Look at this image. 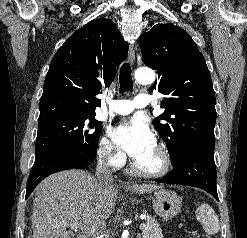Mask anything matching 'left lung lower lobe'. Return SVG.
<instances>
[{
  "label": "left lung lower lobe",
  "instance_id": "left-lung-lower-lobe-1",
  "mask_svg": "<svg viewBox=\"0 0 247 238\" xmlns=\"http://www.w3.org/2000/svg\"><path fill=\"white\" fill-rule=\"evenodd\" d=\"M216 177L214 154L187 147L180 151L178 159L173 163V170L162 179L155 181L198 187L218 200Z\"/></svg>",
  "mask_w": 247,
  "mask_h": 238
}]
</instances>
